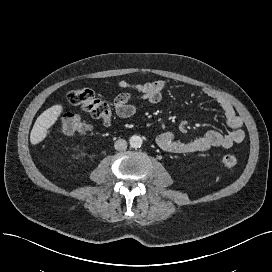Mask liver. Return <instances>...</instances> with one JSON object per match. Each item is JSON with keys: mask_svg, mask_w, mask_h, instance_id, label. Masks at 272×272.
Segmentation results:
<instances>
[{"mask_svg": "<svg viewBox=\"0 0 272 272\" xmlns=\"http://www.w3.org/2000/svg\"><path fill=\"white\" fill-rule=\"evenodd\" d=\"M62 111L63 106L61 104H56L46 109L37 118L30 133V142L32 145L42 142L47 137L49 129L56 123Z\"/></svg>", "mask_w": 272, "mask_h": 272, "instance_id": "obj_1", "label": "liver"}]
</instances>
